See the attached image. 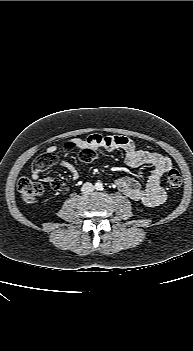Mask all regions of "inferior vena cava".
<instances>
[{
    "label": "inferior vena cava",
    "mask_w": 193,
    "mask_h": 351,
    "mask_svg": "<svg viewBox=\"0 0 193 351\" xmlns=\"http://www.w3.org/2000/svg\"><path fill=\"white\" fill-rule=\"evenodd\" d=\"M94 186L92 183L90 182H86L82 185L81 187V191L84 193V194H88L90 192H92L94 190Z\"/></svg>",
    "instance_id": "602c4592"
}]
</instances>
